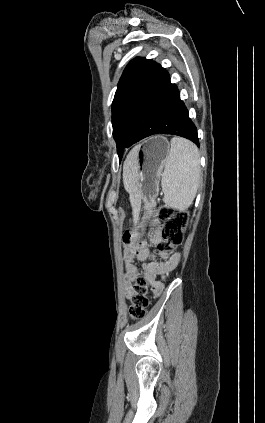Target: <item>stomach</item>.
<instances>
[{
    "mask_svg": "<svg viewBox=\"0 0 265 423\" xmlns=\"http://www.w3.org/2000/svg\"><path fill=\"white\" fill-rule=\"evenodd\" d=\"M169 151V142L163 136L150 137L133 150L137 167L136 188L146 199L144 209L148 215L155 208L158 184Z\"/></svg>",
    "mask_w": 265,
    "mask_h": 423,
    "instance_id": "1",
    "label": "stomach"
}]
</instances>
